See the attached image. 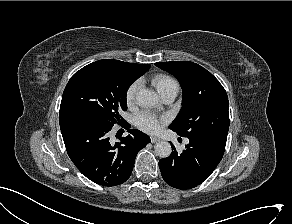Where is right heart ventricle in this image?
I'll list each match as a JSON object with an SVG mask.
<instances>
[{
    "mask_svg": "<svg viewBox=\"0 0 292 224\" xmlns=\"http://www.w3.org/2000/svg\"><path fill=\"white\" fill-rule=\"evenodd\" d=\"M153 85L156 87L158 90L159 94L172 88V87H177L178 88V83L175 79H173L170 76L167 75H159L156 76L153 80Z\"/></svg>",
    "mask_w": 292,
    "mask_h": 224,
    "instance_id": "1",
    "label": "right heart ventricle"
}]
</instances>
